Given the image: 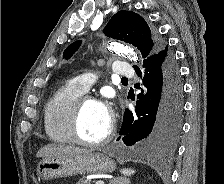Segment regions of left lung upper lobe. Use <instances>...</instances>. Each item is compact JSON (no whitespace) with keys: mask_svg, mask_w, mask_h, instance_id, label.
Instances as JSON below:
<instances>
[{"mask_svg":"<svg viewBox=\"0 0 224 184\" xmlns=\"http://www.w3.org/2000/svg\"><path fill=\"white\" fill-rule=\"evenodd\" d=\"M108 37L128 42L137 47L144 60L164 49V44L152 36V32L146 21L132 11H119L112 16L104 29ZM80 41L71 44L64 52L69 58L79 47ZM135 69H139L134 66Z\"/></svg>","mask_w":224,"mask_h":184,"instance_id":"5c2ea615","label":"left lung upper lobe"}]
</instances>
